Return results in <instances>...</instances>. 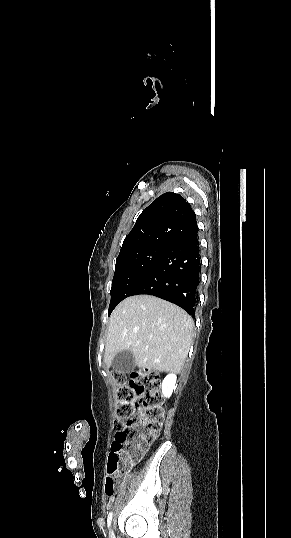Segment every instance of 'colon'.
Returning <instances> with one entry per match:
<instances>
[{
  "label": "colon",
  "mask_w": 291,
  "mask_h": 538,
  "mask_svg": "<svg viewBox=\"0 0 291 538\" xmlns=\"http://www.w3.org/2000/svg\"><path fill=\"white\" fill-rule=\"evenodd\" d=\"M117 406L114 441L106 465L105 491H117L130 465L141 458L158 436L164 421V399L157 374L139 370L116 375Z\"/></svg>",
  "instance_id": "obj_1"
}]
</instances>
